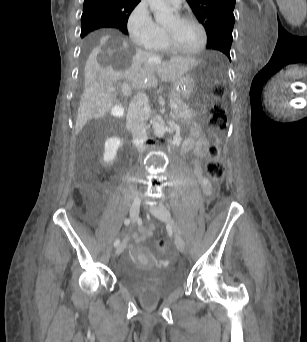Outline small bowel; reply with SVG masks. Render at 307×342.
Returning <instances> with one entry per match:
<instances>
[{"instance_id": "c3829d8e", "label": "small bowel", "mask_w": 307, "mask_h": 342, "mask_svg": "<svg viewBox=\"0 0 307 342\" xmlns=\"http://www.w3.org/2000/svg\"><path fill=\"white\" fill-rule=\"evenodd\" d=\"M209 147V139L203 132L200 125L195 124L191 129L190 136L183 143V150L188 151L194 149L196 160L193 162L194 174L199 180L204 191L210 193V184L208 179L204 176L202 167L199 163V159L203 158ZM154 227H141L140 234L133 233L132 239L137 244H143L147 238H149L153 233Z\"/></svg>"}]
</instances>
